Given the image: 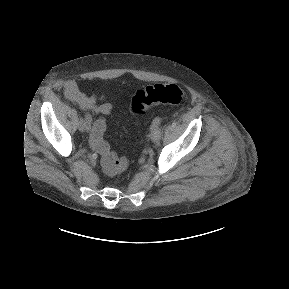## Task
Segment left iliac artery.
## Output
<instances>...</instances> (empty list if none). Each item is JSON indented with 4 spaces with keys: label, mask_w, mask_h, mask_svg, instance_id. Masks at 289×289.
I'll use <instances>...</instances> for the list:
<instances>
[{
    "label": "left iliac artery",
    "mask_w": 289,
    "mask_h": 289,
    "mask_svg": "<svg viewBox=\"0 0 289 289\" xmlns=\"http://www.w3.org/2000/svg\"><path fill=\"white\" fill-rule=\"evenodd\" d=\"M160 123H161V118H160V117H156V118L153 120V122H152V127H151V128H153V127H158V126L160 125Z\"/></svg>",
    "instance_id": "left-iliac-artery-1"
}]
</instances>
